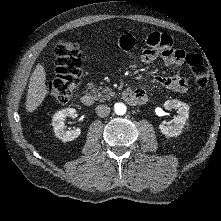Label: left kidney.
I'll use <instances>...</instances> for the list:
<instances>
[{
    "label": "left kidney",
    "mask_w": 221,
    "mask_h": 221,
    "mask_svg": "<svg viewBox=\"0 0 221 221\" xmlns=\"http://www.w3.org/2000/svg\"><path fill=\"white\" fill-rule=\"evenodd\" d=\"M166 110L175 109L178 115L174 117V124L172 126L159 125L162 134L168 137H177L181 134L186 120L189 117V107L186 103L179 100H167L164 103Z\"/></svg>",
    "instance_id": "left-kidney-1"
}]
</instances>
